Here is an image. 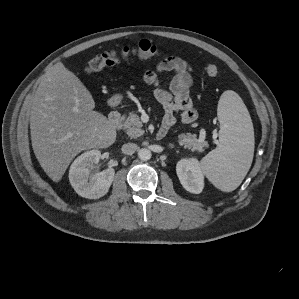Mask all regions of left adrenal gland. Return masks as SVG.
<instances>
[{"instance_id": "a2214340", "label": "left adrenal gland", "mask_w": 299, "mask_h": 299, "mask_svg": "<svg viewBox=\"0 0 299 299\" xmlns=\"http://www.w3.org/2000/svg\"><path fill=\"white\" fill-rule=\"evenodd\" d=\"M170 148H174L173 145H169Z\"/></svg>"}]
</instances>
